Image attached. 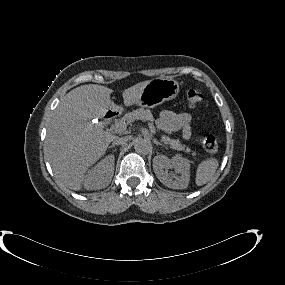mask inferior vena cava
Here are the masks:
<instances>
[{
    "label": "inferior vena cava",
    "instance_id": "602c4592",
    "mask_svg": "<svg viewBox=\"0 0 285 285\" xmlns=\"http://www.w3.org/2000/svg\"><path fill=\"white\" fill-rule=\"evenodd\" d=\"M128 141V138L127 137H120V138H116L114 141H113V145H123L125 144L126 142Z\"/></svg>",
    "mask_w": 285,
    "mask_h": 285
}]
</instances>
